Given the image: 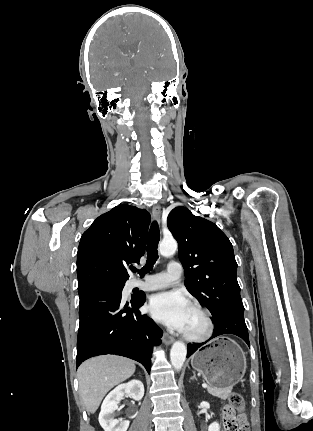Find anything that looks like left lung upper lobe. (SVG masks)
Masks as SVG:
<instances>
[{"mask_svg":"<svg viewBox=\"0 0 313 431\" xmlns=\"http://www.w3.org/2000/svg\"><path fill=\"white\" fill-rule=\"evenodd\" d=\"M167 225L178 242L187 290L205 305L213 321L244 313L231 242L212 222L185 207L174 208Z\"/></svg>","mask_w":313,"mask_h":431,"instance_id":"5c2ea615","label":"left lung upper lobe"}]
</instances>
